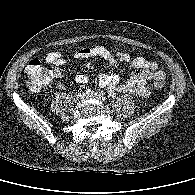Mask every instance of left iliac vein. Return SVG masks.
Wrapping results in <instances>:
<instances>
[{"label": "left iliac vein", "mask_w": 195, "mask_h": 195, "mask_svg": "<svg viewBox=\"0 0 195 195\" xmlns=\"http://www.w3.org/2000/svg\"><path fill=\"white\" fill-rule=\"evenodd\" d=\"M87 98H96L98 100H101L102 97L98 94V93H95V92H90L86 95Z\"/></svg>", "instance_id": "4c4485c4"}]
</instances>
